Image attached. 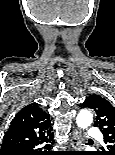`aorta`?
Listing matches in <instances>:
<instances>
[{
	"instance_id": "762f6f07",
	"label": "aorta",
	"mask_w": 115,
	"mask_h": 155,
	"mask_svg": "<svg viewBox=\"0 0 115 155\" xmlns=\"http://www.w3.org/2000/svg\"><path fill=\"white\" fill-rule=\"evenodd\" d=\"M93 122V115L89 110H82L76 118V123L80 128L86 129Z\"/></svg>"
}]
</instances>
